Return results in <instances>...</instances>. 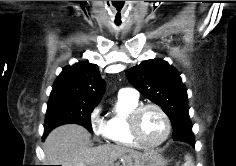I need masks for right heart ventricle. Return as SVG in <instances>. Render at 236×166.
I'll list each match as a JSON object with an SVG mask.
<instances>
[{
    "mask_svg": "<svg viewBox=\"0 0 236 166\" xmlns=\"http://www.w3.org/2000/svg\"><path fill=\"white\" fill-rule=\"evenodd\" d=\"M140 105L138 98L118 96L113 112L106 122V137L121 147H141L131 136L129 116Z\"/></svg>",
    "mask_w": 236,
    "mask_h": 166,
    "instance_id": "e07e8e85",
    "label": "right heart ventricle"
}]
</instances>
